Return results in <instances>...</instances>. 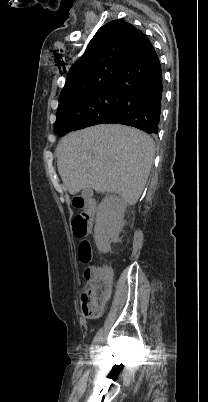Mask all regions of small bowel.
I'll return each mask as SVG.
<instances>
[{"label": "small bowel", "mask_w": 208, "mask_h": 402, "mask_svg": "<svg viewBox=\"0 0 208 402\" xmlns=\"http://www.w3.org/2000/svg\"><path fill=\"white\" fill-rule=\"evenodd\" d=\"M86 273H88V271ZM96 296H99L100 298H103L105 300H108L111 297V295H96ZM92 321H95V318H92Z\"/></svg>", "instance_id": "1"}]
</instances>
